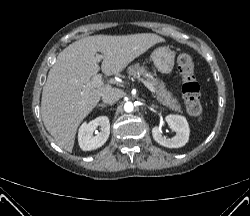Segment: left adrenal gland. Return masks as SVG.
I'll use <instances>...</instances> for the list:
<instances>
[{
  "label": "left adrenal gland",
  "mask_w": 250,
  "mask_h": 216,
  "mask_svg": "<svg viewBox=\"0 0 250 216\" xmlns=\"http://www.w3.org/2000/svg\"><path fill=\"white\" fill-rule=\"evenodd\" d=\"M154 108H157L158 106L152 105Z\"/></svg>",
  "instance_id": "obj_1"
}]
</instances>
